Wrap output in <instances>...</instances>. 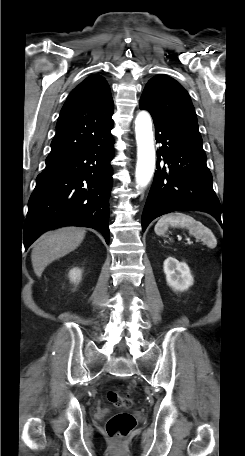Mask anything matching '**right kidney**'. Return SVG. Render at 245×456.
<instances>
[{
  "label": "right kidney",
  "instance_id": "ca27d5eb",
  "mask_svg": "<svg viewBox=\"0 0 245 456\" xmlns=\"http://www.w3.org/2000/svg\"><path fill=\"white\" fill-rule=\"evenodd\" d=\"M69 277L72 282H79L81 279V271L78 268H74L69 272Z\"/></svg>",
  "mask_w": 245,
  "mask_h": 456
}]
</instances>
